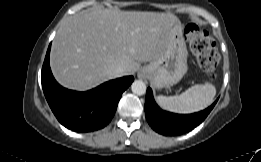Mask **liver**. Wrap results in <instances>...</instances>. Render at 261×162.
<instances>
[{"label": "liver", "instance_id": "6515ba94", "mask_svg": "<svg viewBox=\"0 0 261 162\" xmlns=\"http://www.w3.org/2000/svg\"><path fill=\"white\" fill-rule=\"evenodd\" d=\"M172 13L91 9L66 19L52 43L51 70L57 81L71 89L88 90L116 78L121 65L127 75L140 62L158 59L165 51Z\"/></svg>", "mask_w": 261, "mask_h": 162}]
</instances>
